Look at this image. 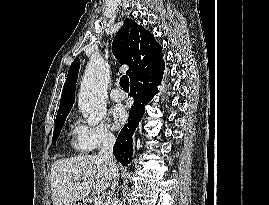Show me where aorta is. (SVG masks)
Returning <instances> with one entry per match:
<instances>
[{"label":"aorta","mask_w":269,"mask_h":205,"mask_svg":"<svg viewBox=\"0 0 269 205\" xmlns=\"http://www.w3.org/2000/svg\"><path fill=\"white\" fill-rule=\"evenodd\" d=\"M109 68L100 57H92L85 70L78 106L90 125L98 124L106 115V90ZM111 205H122L115 199Z\"/></svg>","instance_id":"aorta-1"}]
</instances>
